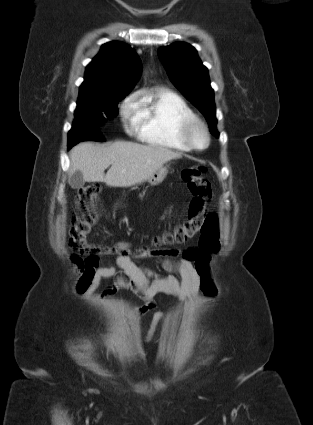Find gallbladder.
Wrapping results in <instances>:
<instances>
[{
    "label": "gallbladder",
    "instance_id": "gallbladder-1",
    "mask_svg": "<svg viewBox=\"0 0 313 425\" xmlns=\"http://www.w3.org/2000/svg\"><path fill=\"white\" fill-rule=\"evenodd\" d=\"M69 184L74 189H79L84 186L85 180L80 171L74 172L69 179Z\"/></svg>",
    "mask_w": 313,
    "mask_h": 425
}]
</instances>
